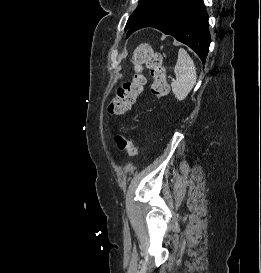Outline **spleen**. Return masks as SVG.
I'll use <instances>...</instances> for the list:
<instances>
[{"label": "spleen", "mask_w": 261, "mask_h": 273, "mask_svg": "<svg viewBox=\"0 0 261 273\" xmlns=\"http://www.w3.org/2000/svg\"><path fill=\"white\" fill-rule=\"evenodd\" d=\"M174 73L176 79L171 83L172 92L178 101H182L188 96L197 80L195 64L183 48L178 51Z\"/></svg>", "instance_id": "obj_1"}]
</instances>
